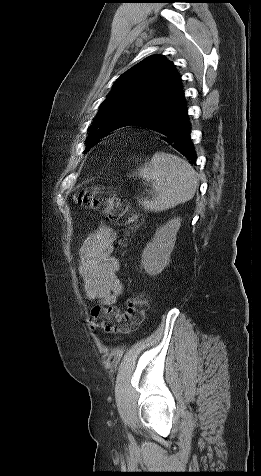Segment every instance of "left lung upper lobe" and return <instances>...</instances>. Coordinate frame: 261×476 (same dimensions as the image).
<instances>
[{"instance_id":"obj_1","label":"left lung upper lobe","mask_w":261,"mask_h":476,"mask_svg":"<svg viewBox=\"0 0 261 476\" xmlns=\"http://www.w3.org/2000/svg\"><path fill=\"white\" fill-rule=\"evenodd\" d=\"M183 97L181 77L172 62L161 55L144 59L114 82L89 128L85 151L107 132L158 116Z\"/></svg>"}]
</instances>
